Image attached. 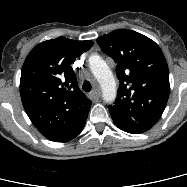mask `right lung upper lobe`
<instances>
[{
	"label": "right lung upper lobe",
	"mask_w": 187,
	"mask_h": 187,
	"mask_svg": "<svg viewBox=\"0 0 187 187\" xmlns=\"http://www.w3.org/2000/svg\"><path fill=\"white\" fill-rule=\"evenodd\" d=\"M93 45L64 37L35 46L25 59L20 78L24 109L49 140L68 142L84 128L91 101L78 87L71 67Z\"/></svg>",
	"instance_id": "obj_1"
}]
</instances>
